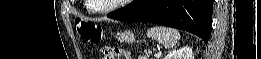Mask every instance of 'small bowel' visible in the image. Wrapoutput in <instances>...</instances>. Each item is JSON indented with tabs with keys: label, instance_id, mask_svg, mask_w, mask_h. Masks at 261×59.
I'll use <instances>...</instances> for the list:
<instances>
[{
	"label": "small bowel",
	"instance_id": "c3829d8e",
	"mask_svg": "<svg viewBox=\"0 0 261 59\" xmlns=\"http://www.w3.org/2000/svg\"><path fill=\"white\" fill-rule=\"evenodd\" d=\"M121 58L130 59L131 57H130V54H129L128 56H126V57H121Z\"/></svg>",
	"mask_w": 261,
	"mask_h": 59
}]
</instances>
